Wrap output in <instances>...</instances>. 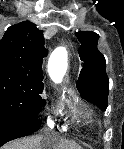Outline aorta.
Here are the masks:
<instances>
[{
	"instance_id": "aorta-1",
	"label": "aorta",
	"mask_w": 124,
	"mask_h": 149,
	"mask_svg": "<svg viewBox=\"0 0 124 149\" xmlns=\"http://www.w3.org/2000/svg\"><path fill=\"white\" fill-rule=\"evenodd\" d=\"M63 56H65V53H64V51H63Z\"/></svg>"
}]
</instances>
